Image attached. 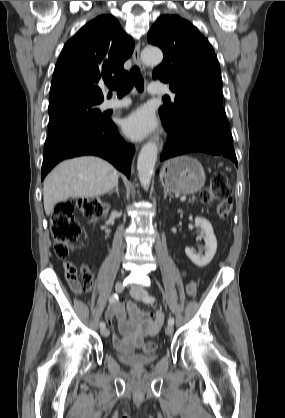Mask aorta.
I'll use <instances>...</instances> for the list:
<instances>
[{"label":"aorta","mask_w":285,"mask_h":418,"mask_svg":"<svg viewBox=\"0 0 285 418\" xmlns=\"http://www.w3.org/2000/svg\"><path fill=\"white\" fill-rule=\"evenodd\" d=\"M141 59L145 64L158 65L163 60V53L158 48H145L141 52ZM157 154L158 148L153 142H148L141 148L137 160V170L140 183L143 187H148L150 185Z\"/></svg>","instance_id":"obj_1"}]
</instances>
